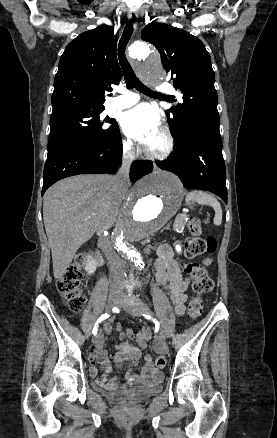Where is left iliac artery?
Returning a JSON list of instances; mask_svg holds the SVG:
<instances>
[{"label": "left iliac artery", "mask_w": 277, "mask_h": 438, "mask_svg": "<svg viewBox=\"0 0 277 438\" xmlns=\"http://www.w3.org/2000/svg\"><path fill=\"white\" fill-rule=\"evenodd\" d=\"M145 317H146V318H149V319L151 318V317H150V316H148V315H145Z\"/></svg>", "instance_id": "left-iliac-artery-1"}]
</instances>
